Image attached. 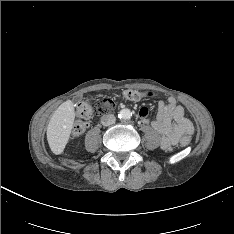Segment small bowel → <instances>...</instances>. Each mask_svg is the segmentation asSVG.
<instances>
[{"mask_svg":"<svg viewBox=\"0 0 234 234\" xmlns=\"http://www.w3.org/2000/svg\"><path fill=\"white\" fill-rule=\"evenodd\" d=\"M126 100L137 101L142 98L124 97ZM149 110L142 107L139 110V117L146 125L151 124L153 129L162 135L161 147L164 150H171L184 134H192L194 127L192 122L185 116L184 108L179 105L174 97L160 100L158 103V113L155 120L150 122Z\"/></svg>","mask_w":234,"mask_h":234,"instance_id":"small-bowel-1","label":"small bowel"}]
</instances>
